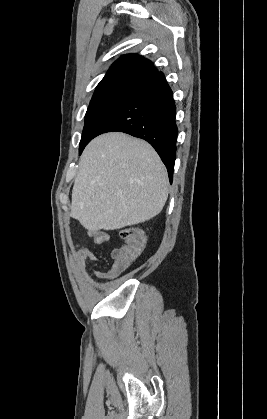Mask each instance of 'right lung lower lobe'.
<instances>
[{"instance_id":"1","label":"right lung lower lobe","mask_w":267,"mask_h":419,"mask_svg":"<svg viewBox=\"0 0 267 419\" xmlns=\"http://www.w3.org/2000/svg\"><path fill=\"white\" fill-rule=\"evenodd\" d=\"M176 106L164 74L158 72L133 90L100 123L92 139L120 131L149 142L165 164L172 183L178 129Z\"/></svg>"}]
</instances>
